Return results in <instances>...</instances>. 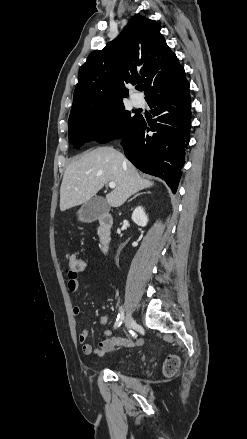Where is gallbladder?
Segmentation results:
<instances>
[{
  "label": "gallbladder",
  "mask_w": 247,
  "mask_h": 439,
  "mask_svg": "<svg viewBox=\"0 0 247 439\" xmlns=\"http://www.w3.org/2000/svg\"><path fill=\"white\" fill-rule=\"evenodd\" d=\"M109 211V205L99 196L84 203L78 211V218L83 222H93Z\"/></svg>",
  "instance_id": "gallbladder-1"
}]
</instances>
